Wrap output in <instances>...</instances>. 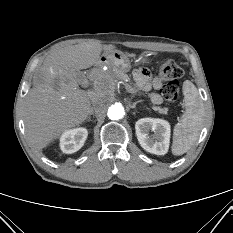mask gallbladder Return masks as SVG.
Returning <instances> with one entry per match:
<instances>
[{
  "label": "gallbladder",
  "instance_id": "obj_1",
  "mask_svg": "<svg viewBox=\"0 0 233 233\" xmlns=\"http://www.w3.org/2000/svg\"><path fill=\"white\" fill-rule=\"evenodd\" d=\"M76 77L79 79L80 78V73L76 72Z\"/></svg>",
  "mask_w": 233,
  "mask_h": 233
}]
</instances>
